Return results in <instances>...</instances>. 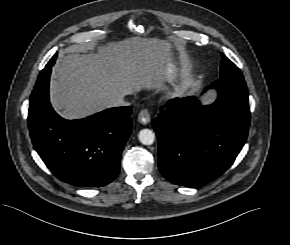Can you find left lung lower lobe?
Wrapping results in <instances>:
<instances>
[{"instance_id": "obj_1", "label": "left lung lower lobe", "mask_w": 290, "mask_h": 245, "mask_svg": "<svg viewBox=\"0 0 290 245\" xmlns=\"http://www.w3.org/2000/svg\"><path fill=\"white\" fill-rule=\"evenodd\" d=\"M217 100L175 99L152 121L158 137V166L170 182L193 187L222 175L242 149L250 124L244 78H220Z\"/></svg>"}]
</instances>
